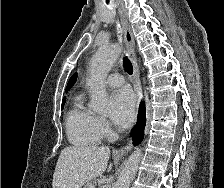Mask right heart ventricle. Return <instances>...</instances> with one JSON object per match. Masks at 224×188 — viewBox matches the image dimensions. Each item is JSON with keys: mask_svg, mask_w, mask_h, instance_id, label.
Here are the masks:
<instances>
[{"mask_svg": "<svg viewBox=\"0 0 224 188\" xmlns=\"http://www.w3.org/2000/svg\"><path fill=\"white\" fill-rule=\"evenodd\" d=\"M66 131L69 141L75 146H95L101 140L98 117L84 106L82 96L76 98L67 114Z\"/></svg>", "mask_w": 224, "mask_h": 188, "instance_id": "right-heart-ventricle-1", "label": "right heart ventricle"}]
</instances>
